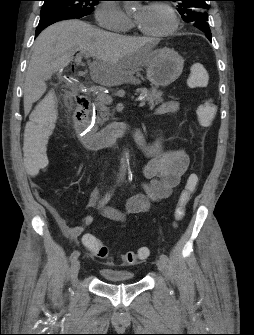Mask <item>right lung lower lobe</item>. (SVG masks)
Wrapping results in <instances>:
<instances>
[{
    "label": "right lung lower lobe",
    "instance_id": "1",
    "mask_svg": "<svg viewBox=\"0 0 254 335\" xmlns=\"http://www.w3.org/2000/svg\"><path fill=\"white\" fill-rule=\"evenodd\" d=\"M76 17H73L69 14L66 13H49L42 15L40 17L39 24L36 29V36L47 26L61 20H66V19H75Z\"/></svg>",
    "mask_w": 254,
    "mask_h": 335
}]
</instances>
